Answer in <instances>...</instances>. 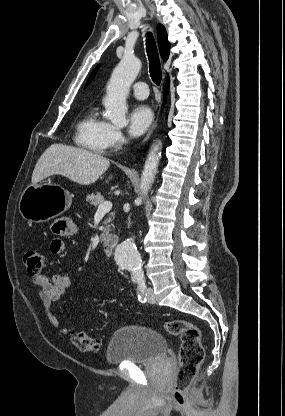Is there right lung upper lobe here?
Returning <instances> with one entry per match:
<instances>
[{
	"mask_svg": "<svg viewBox=\"0 0 285 416\" xmlns=\"http://www.w3.org/2000/svg\"><path fill=\"white\" fill-rule=\"evenodd\" d=\"M157 41H158V46H159V50H160V54L161 57L164 61H166L169 57V53H170V43L167 39V32L166 29L163 25L159 24L157 27ZM97 71V67L93 70V72L91 73L86 86L90 83V81L93 79V77L95 76V73Z\"/></svg>",
	"mask_w": 285,
	"mask_h": 416,
	"instance_id": "obj_1",
	"label": "right lung upper lobe"
}]
</instances>
